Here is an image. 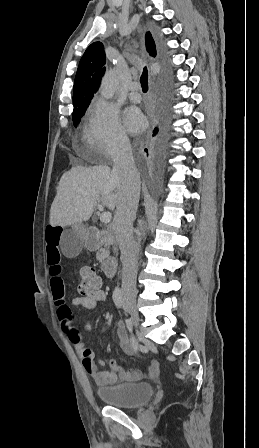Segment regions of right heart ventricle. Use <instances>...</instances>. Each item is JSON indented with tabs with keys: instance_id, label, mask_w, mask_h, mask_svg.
Segmentation results:
<instances>
[{
	"instance_id": "1",
	"label": "right heart ventricle",
	"mask_w": 259,
	"mask_h": 448,
	"mask_svg": "<svg viewBox=\"0 0 259 448\" xmlns=\"http://www.w3.org/2000/svg\"><path fill=\"white\" fill-rule=\"evenodd\" d=\"M91 121H92V114L90 113V111H88L85 117V127L87 130L89 128Z\"/></svg>"
}]
</instances>
